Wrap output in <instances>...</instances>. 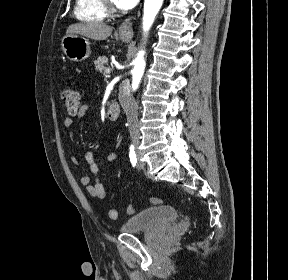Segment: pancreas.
Returning <instances> with one entry per match:
<instances>
[{
  "label": "pancreas",
  "instance_id": "pancreas-1",
  "mask_svg": "<svg viewBox=\"0 0 288 280\" xmlns=\"http://www.w3.org/2000/svg\"><path fill=\"white\" fill-rule=\"evenodd\" d=\"M108 64V58L106 56H100L98 59L94 62L95 70L102 73L103 70L107 67Z\"/></svg>",
  "mask_w": 288,
  "mask_h": 280
}]
</instances>
